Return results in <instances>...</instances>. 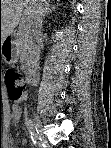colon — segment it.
Here are the masks:
<instances>
[{
    "label": "colon",
    "mask_w": 111,
    "mask_h": 148,
    "mask_svg": "<svg viewBox=\"0 0 111 148\" xmlns=\"http://www.w3.org/2000/svg\"><path fill=\"white\" fill-rule=\"evenodd\" d=\"M4 82L7 86V92L10 99L19 100L25 94L22 77L18 72L14 70L6 71L4 73Z\"/></svg>",
    "instance_id": "5ec220e1"
}]
</instances>
